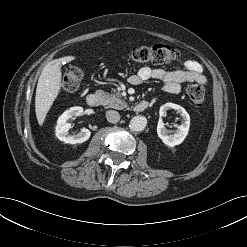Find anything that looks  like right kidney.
<instances>
[{"instance_id": "obj_1", "label": "right kidney", "mask_w": 247, "mask_h": 247, "mask_svg": "<svg viewBox=\"0 0 247 247\" xmlns=\"http://www.w3.org/2000/svg\"><path fill=\"white\" fill-rule=\"evenodd\" d=\"M83 114V108L76 106L71 107L70 109L66 110L57 120V125L55 128V133L57 138L60 141L69 144H77L83 143L87 141L91 135V132L83 128L77 134H69V129L71 128V124L67 123L68 119L81 116Z\"/></svg>"}]
</instances>
